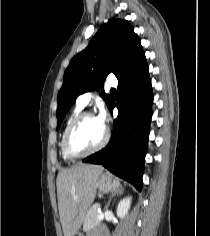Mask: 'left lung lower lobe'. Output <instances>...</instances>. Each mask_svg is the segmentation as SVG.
<instances>
[{
	"label": "left lung lower lobe",
	"mask_w": 210,
	"mask_h": 236,
	"mask_svg": "<svg viewBox=\"0 0 210 236\" xmlns=\"http://www.w3.org/2000/svg\"><path fill=\"white\" fill-rule=\"evenodd\" d=\"M118 95V102L109 106L111 112L115 106L119 111L109 144L83 162L103 165L140 191L153 103L147 61L119 81Z\"/></svg>",
	"instance_id": "left-lung-lower-lobe-1"
}]
</instances>
